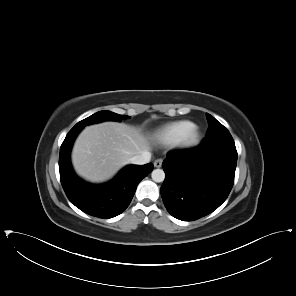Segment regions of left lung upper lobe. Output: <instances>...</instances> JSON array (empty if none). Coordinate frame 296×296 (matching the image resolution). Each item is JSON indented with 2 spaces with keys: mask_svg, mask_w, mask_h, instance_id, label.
Returning <instances> with one entry per match:
<instances>
[{
  "mask_svg": "<svg viewBox=\"0 0 296 296\" xmlns=\"http://www.w3.org/2000/svg\"><path fill=\"white\" fill-rule=\"evenodd\" d=\"M206 117L209 129L206 138L202 142L204 148L208 151L223 147L235 148L234 140L227 128L210 114L207 113Z\"/></svg>",
  "mask_w": 296,
  "mask_h": 296,
  "instance_id": "1",
  "label": "left lung upper lobe"
}]
</instances>
